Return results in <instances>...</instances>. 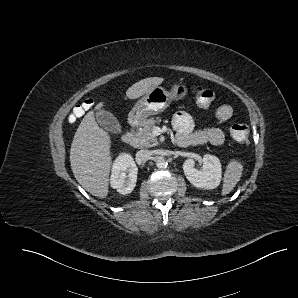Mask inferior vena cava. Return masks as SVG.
I'll return each instance as SVG.
<instances>
[{
    "label": "inferior vena cava",
    "instance_id": "602c4592",
    "mask_svg": "<svg viewBox=\"0 0 298 298\" xmlns=\"http://www.w3.org/2000/svg\"><path fill=\"white\" fill-rule=\"evenodd\" d=\"M152 154L151 150H139L136 153V159L140 161L147 160L152 156Z\"/></svg>",
    "mask_w": 298,
    "mask_h": 298
}]
</instances>
